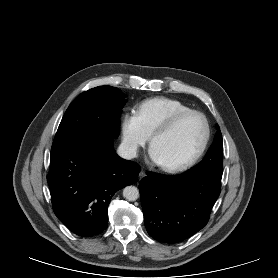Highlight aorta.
Masks as SVG:
<instances>
[{"mask_svg": "<svg viewBox=\"0 0 278 278\" xmlns=\"http://www.w3.org/2000/svg\"><path fill=\"white\" fill-rule=\"evenodd\" d=\"M123 197L128 201H135L139 198V190L135 186H127L123 189Z\"/></svg>", "mask_w": 278, "mask_h": 278, "instance_id": "obj_1", "label": "aorta"}]
</instances>
